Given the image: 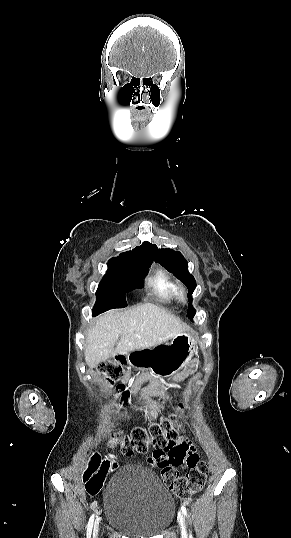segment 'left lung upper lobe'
<instances>
[{
	"mask_svg": "<svg viewBox=\"0 0 291 538\" xmlns=\"http://www.w3.org/2000/svg\"><path fill=\"white\" fill-rule=\"evenodd\" d=\"M154 255L155 260L163 267H165V269H167L169 272H172L173 275L178 278L183 284H185L187 289L189 290V305L187 316L192 320L195 315V309L192 307L191 304V294L193 293L197 285L193 275H191L188 271V264L186 259L178 251H174L172 249H158L156 245H154Z\"/></svg>",
	"mask_w": 291,
	"mask_h": 538,
	"instance_id": "left-lung-upper-lobe-1",
	"label": "left lung upper lobe"
}]
</instances>
